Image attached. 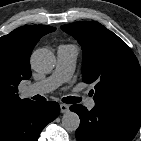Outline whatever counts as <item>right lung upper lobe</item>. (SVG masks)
Segmentation results:
<instances>
[{"label": "right lung upper lobe", "mask_w": 141, "mask_h": 141, "mask_svg": "<svg viewBox=\"0 0 141 141\" xmlns=\"http://www.w3.org/2000/svg\"><path fill=\"white\" fill-rule=\"evenodd\" d=\"M55 30L46 25H26L0 37V118L31 101L19 98L18 85L31 77L29 57L36 43Z\"/></svg>", "instance_id": "cb5924a9"}]
</instances>
